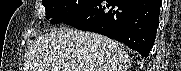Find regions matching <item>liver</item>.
Returning a JSON list of instances; mask_svg holds the SVG:
<instances>
[{"mask_svg":"<svg viewBox=\"0 0 181 71\" xmlns=\"http://www.w3.org/2000/svg\"><path fill=\"white\" fill-rule=\"evenodd\" d=\"M130 65L121 44L100 34L61 27L36 38L24 71H127Z\"/></svg>","mask_w":181,"mask_h":71,"instance_id":"obj_1","label":"liver"}]
</instances>
